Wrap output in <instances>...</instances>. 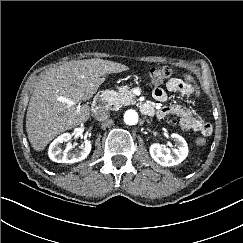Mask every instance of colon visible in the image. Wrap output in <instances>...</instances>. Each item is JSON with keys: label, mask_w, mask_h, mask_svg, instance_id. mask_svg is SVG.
I'll use <instances>...</instances> for the list:
<instances>
[{"label": "colon", "mask_w": 243, "mask_h": 243, "mask_svg": "<svg viewBox=\"0 0 243 243\" xmlns=\"http://www.w3.org/2000/svg\"><path fill=\"white\" fill-rule=\"evenodd\" d=\"M172 74L173 69L169 66L155 67L150 70L149 78L153 84H160L170 78ZM206 142L207 140L203 136L197 137L196 139V143L199 146L205 145Z\"/></svg>", "instance_id": "colon-1"}]
</instances>
